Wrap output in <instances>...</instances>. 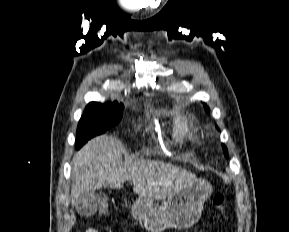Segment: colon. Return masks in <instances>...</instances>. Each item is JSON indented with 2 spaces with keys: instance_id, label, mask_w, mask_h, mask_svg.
<instances>
[{
  "instance_id": "5ec220e1",
  "label": "colon",
  "mask_w": 289,
  "mask_h": 232,
  "mask_svg": "<svg viewBox=\"0 0 289 232\" xmlns=\"http://www.w3.org/2000/svg\"><path fill=\"white\" fill-rule=\"evenodd\" d=\"M214 203L217 209L222 213L225 214V198L221 193H217L214 196ZM108 202L105 197L101 199V206H100V212L103 214H106L108 212ZM194 232H202V231H194Z\"/></svg>"
}]
</instances>
